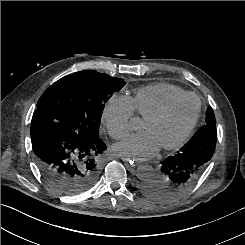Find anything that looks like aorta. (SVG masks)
I'll return each mask as SVG.
<instances>
[{
	"label": "aorta",
	"mask_w": 245,
	"mask_h": 245,
	"mask_svg": "<svg viewBox=\"0 0 245 245\" xmlns=\"http://www.w3.org/2000/svg\"><path fill=\"white\" fill-rule=\"evenodd\" d=\"M137 176L142 180H149L154 176V169L148 164L140 165L137 169Z\"/></svg>",
	"instance_id": "762f6f07"
}]
</instances>
